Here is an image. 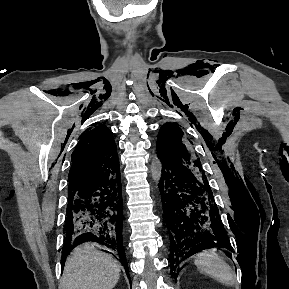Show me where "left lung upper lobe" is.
<instances>
[{"label":"left lung upper lobe","instance_id":"obj_1","mask_svg":"<svg viewBox=\"0 0 289 289\" xmlns=\"http://www.w3.org/2000/svg\"><path fill=\"white\" fill-rule=\"evenodd\" d=\"M156 148L158 156L187 166L195 175L207 181L200 160L184 139L181 128L176 124L166 123L161 127Z\"/></svg>","mask_w":289,"mask_h":289}]
</instances>
